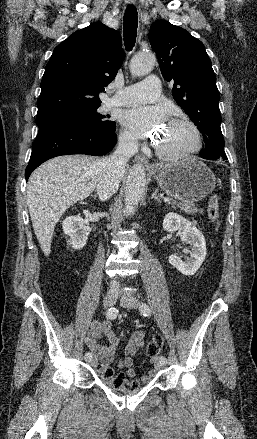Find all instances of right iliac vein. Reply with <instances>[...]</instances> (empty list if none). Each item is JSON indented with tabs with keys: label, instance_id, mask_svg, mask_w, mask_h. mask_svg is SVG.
Masks as SVG:
<instances>
[{
	"label": "right iliac vein",
	"instance_id": "right-iliac-vein-1",
	"mask_svg": "<svg viewBox=\"0 0 257 439\" xmlns=\"http://www.w3.org/2000/svg\"><path fill=\"white\" fill-rule=\"evenodd\" d=\"M118 298V293L114 292V291H109L105 294L104 298H103V305L104 307L108 308V307H112ZM89 363L93 364V360L92 359H88L87 360Z\"/></svg>",
	"mask_w": 257,
	"mask_h": 439
}]
</instances>
